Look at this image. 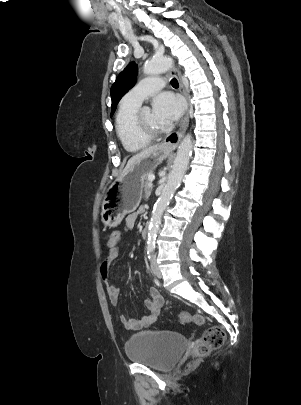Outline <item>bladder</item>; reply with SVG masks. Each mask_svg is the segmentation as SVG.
<instances>
[{
  "instance_id": "bladder-1",
  "label": "bladder",
  "mask_w": 301,
  "mask_h": 405,
  "mask_svg": "<svg viewBox=\"0 0 301 405\" xmlns=\"http://www.w3.org/2000/svg\"><path fill=\"white\" fill-rule=\"evenodd\" d=\"M186 347L185 338L175 332L141 331L125 344L128 359L158 371L172 369Z\"/></svg>"
}]
</instances>
